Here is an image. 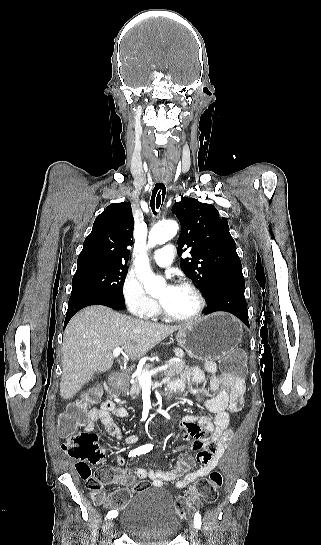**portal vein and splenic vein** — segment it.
<instances>
[{
  "label": "portal vein and splenic vein",
  "instance_id": "obj_1",
  "mask_svg": "<svg viewBox=\"0 0 321 545\" xmlns=\"http://www.w3.org/2000/svg\"><path fill=\"white\" fill-rule=\"evenodd\" d=\"M123 353V349H120V347H115L112 355L113 357H119ZM170 368V363H167V365H161V368H151V370L142 371L138 377V383L141 385V387H147V385H152L151 383V376H157V373H160V371H165Z\"/></svg>",
  "mask_w": 321,
  "mask_h": 545
}]
</instances>
